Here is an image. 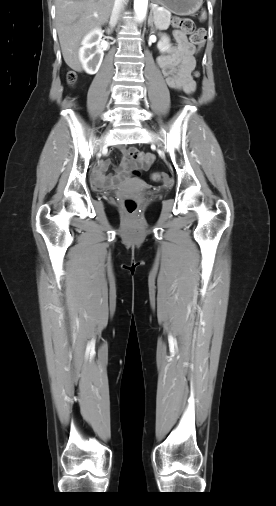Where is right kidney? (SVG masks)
<instances>
[{"label":"right kidney","instance_id":"right-kidney-1","mask_svg":"<svg viewBox=\"0 0 276 506\" xmlns=\"http://www.w3.org/2000/svg\"><path fill=\"white\" fill-rule=\"evenodd\" d=\"M101 37L102 30L96 28L90 31L82 41V47L79 50V59L83 69L88 74L97 73L102 63L104 52L100 47Z\"/></svg>","mask_w":276,"mask_h":506}]
</instances>
